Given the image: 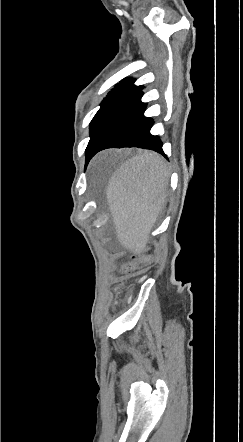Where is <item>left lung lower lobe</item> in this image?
I'll use <instances>...</instances> for the list:
<instances>
[{"label":"left lung lower lobe","mask_w":243,"mask_h":442,"mask_svg":"<svg viewBox=\"0 0 243 442\" xmlns=\"http://www.w3.org/2000/svg\"><path fill=\"white\" fill-rule=\"evenodd\" d=\"M143 86H138L119 100L102 118L86 148V163L107 148L138 147L154 150L166 157L162 142L150 134L154 123L145 117L146 103L141 102Z\"/></svg>","instance_id":"0a47b994"}]
</instances>
